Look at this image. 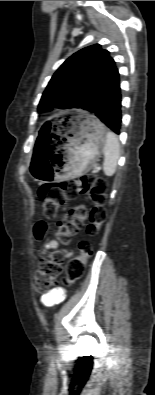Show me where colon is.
Instances as JSON below:
<instances>
[{
  "instance_id": "5ec220e1",
  "label": "colon",
  "mask_w": 155,
  "mask_h": 395,
  "mask_svg": "<svg viewBox=\"0 0 155 395\" xmlns=\"http://www.w3.org/2000/svg\"><path fill=\"white\" fill-rule=\"evenodd\" d=\"M107 183L104 179L91 174H85L72 180L60 183L44 184L38 191L41 207L44 215L51 219L56 215L57 210L67 200L75 199L79 195L88 194L92 201V206L87 208L84 205L69 209L58 223L56 236L63 242L78 233L87 221L86 231L90 235L99 232L106 219L105 195ZM46 231L43 222H39L34 227V236L41 240ZM79 254L72 258L65 270L64 288H73L84 272L85 263L92 255V246L87 241H82L79 245ZM61 272V257L59 253H50L41 259L39 269L36 272V290L46 292L55 282Z\"/></svg>"
}]
</instances>
